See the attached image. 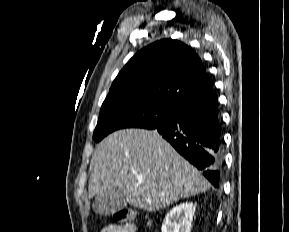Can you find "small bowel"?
<instances>
[{
	"mask_svg": "<svg viewBox=\"0 0 289 232\" xmlns=\"http://www.w3.org/2000/svg\"><path fill=\"white\" fill-rule=\"evenodd\" d=\"M138 226L135 223H128L126 225L110 224L104 227L100 232H137Z\"/></svg>",
	"mask_w": 289,
	"mask_h": 232,
	"instance_id": "small-bowel-1",
	"label": "small bowel"
}]
</instances>
